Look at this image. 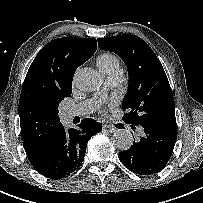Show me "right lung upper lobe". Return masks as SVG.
Here are the masks:
<instances>
[{
    "label": "right lung upper lobe",
    "instance_id": "1",
    "mask_svg": "<svg viewBox=\"0 0 203 203\" xmlns=\"http://www.w3.org/2000/svg\"><path fill=\"white\" fill-rule=\"evenodd\" d=\"M95 38L63 37L46 44L32 62L19 100L27 157L42 151L61 125L57 104L72 92L76 69L96 51Z\"/></svg>",
    "mask_w": 203,
    "mask_h": 203
}]
</instances>
